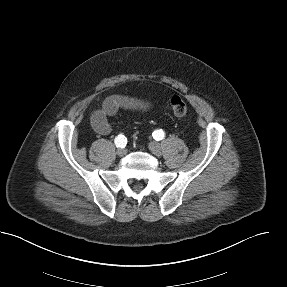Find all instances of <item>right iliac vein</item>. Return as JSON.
I'll use <instances>...</instances> for the list:
<instances>
[{
	"label": "right iliac vein",
	"mask_w": 287,
	"mask_h": 287,
	"mask_svg": "<svg viewBox=\"0 0 287 287\" xmlns=\"http://www.w3.org/2000/svg\"><path fill=\"white\" fill-rule=\"evenodd\" d=\"M126 153H127V150H126V149L119 148V149L117 150V155L120 156V157L125 156Z\"/></svg>",
	"instance_id": "63e3f726"
}]
</instances>
